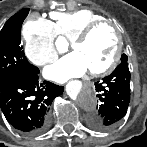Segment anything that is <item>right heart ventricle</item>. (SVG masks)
<instances>
[{
  "instance_id": "e07e8e85",
  "label": "right heart ventricle",
  "mask_w": 147,
  "mask_h": 147,
  "mask_svg": "<svg viewBox=\"0 0 147 147\" xmlns=\"http://www.w3.org/2000/svg\"><path fill=\"white\" fill-rule=\"evenodd\" d=\"M55 34L71 41L79 32L93 22L104 20L90 9H78L71 12H53Z\"/></svg>"
}]
</instances>
